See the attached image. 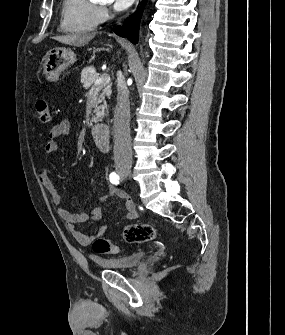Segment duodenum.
Returning <instances> with one entry per match:
<instances>
[{"label":"duodenum","instance_id":"obj_1","mask_svg":"<svg viewBox=\"0 0 285 335\" xmlns=\"http://www.w3.org/2000/svg\"><path fill=\"white\" fill-rule=\"evenodd\" d=\"M92 137L97 147L108 152L111 148V132L109 128L103 124H94L91 128Z\"/></svg>","mask_w":285,"mask_h":335}]
</instances>
